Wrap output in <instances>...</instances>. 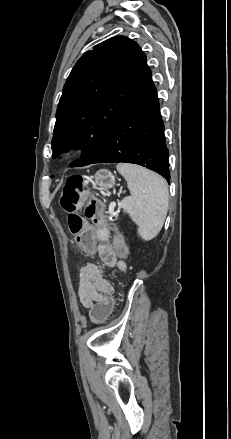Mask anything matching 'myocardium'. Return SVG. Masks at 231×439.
Wrapping results in <instances>:
<instances>
[{
	"label": "myocardium",
	"instance_id": "myocardium-1",
	"mask_svg": "<svg viewBox=\"0 0 231 439\" xmlns=\"http://www.w3.org/2000/svg\"><path fill=\"white\" fill-rule=\"evenodd\" d=\"M76 151V147H70L69 149H68V153H72V152H75Z\"/></svg>",
	"mask_w": 231,
	"mask_h": 439
}]
</instances>
